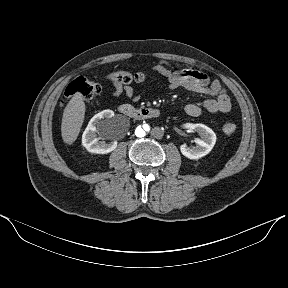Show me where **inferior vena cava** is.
<instances>
[{
    "mask_svg": "<svg viewBox=\"0 0 288 288\" xmlns=\"http://www.w3.org/2000/svg\"><path fill=\"white\" fill-rule=\"evenodd\" d=\"M151 136L154 139H161L164 136V129L161 126H154L151 129Z\"/></svg>",
    "mask_w": 288,
    "mask_h": 288,
    "instance_id": "602c4592",
    "label": "inferior vena cava"
}]
</instances>
